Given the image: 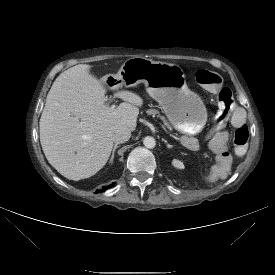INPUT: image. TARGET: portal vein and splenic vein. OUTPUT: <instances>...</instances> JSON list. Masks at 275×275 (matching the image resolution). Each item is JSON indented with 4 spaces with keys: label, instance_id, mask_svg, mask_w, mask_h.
Wrapping results in <instances>:
<instances>
[{
    "label": "portal vein and splenic vein",
    "instance_id": "portal-vein-and-splenic-vein-1",
    "mask_svg": "<svg viewBox=\"0 0 275 275\" xmlns=\"http://www.w3.org/2000/svg\"><path fill=\"white\" fill-rule=\"evenodd\" d=\"M112 107H114V106H112ZM169 135H170L172 138H174L175 140H179L176 136H174V135H172V134H170V133H169Z\"/></svg>",
    "mask_w": 275,
    "mask_h": 275
}]
</instances>
